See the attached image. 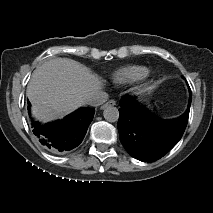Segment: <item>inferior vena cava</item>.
<instances>
[{"instance_id": "602c4592", "label": "inferior vena cava", "mask_w": 213, "mask_h": 213, "mask_svg": "<svg viewBox=\"0 0 213 213\" xmlns=\"http://www.w3.org/2000/svg\"><path fill=\"white\" fill-rule=\"evenodd\" d=\"M108 94L104 91L98 90L93 93L91 96L87 97L85 100V104H88L93 107H97L102 105L108 100Z\"/></svg>"}]
</instances>
